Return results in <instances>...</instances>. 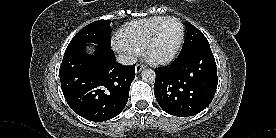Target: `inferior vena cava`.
Here are the masks:
<instances>
[{
    "mask_svg": "<svg viewBox=\"0 0 276 138\" xmlns=\"http://www.w3.org/2000/svg\"><path fill=\"white\" fill-rule=\"evenodd\" d=\"M117 61L122 65H133L136 63V58L130 54H119Z\"/></svg>",
    "mask_w": 276,
    "mask_h": 138,
    "instance_id": "602c4592",
    "label": "inferior vena cava"
}]
</instances>
